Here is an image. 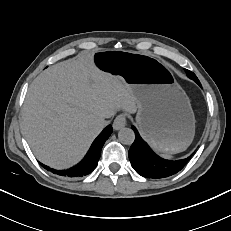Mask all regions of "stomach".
Instances as JSON below:
<instances>
[{"instance_id": "obj_1", "label": "stomach", "mask_w": 231, "mask_h": 231, "mask_svg": "<svg viewBox=\"0 0 231 231\" xmlns=\"http://www.w3.org/2000/svg\"><path fill=\"white\" fill-rule=\"evenodd\" d=\"M101 71L120 77L137 99L136 124L157 151H184L195 135L190 101L170 69L157 58L134 51L103 50L93 54Z\"/></svg>"}]
</instances>
